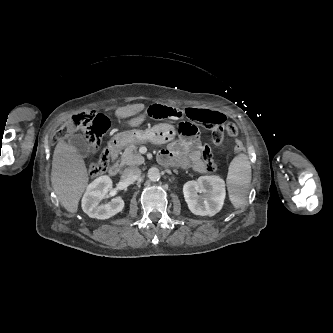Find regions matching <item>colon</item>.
Instances as JSON below:
<instances>
[{
    "instance_id": "obj_1",
    "label": "colon",
    "mask_w": 333,
    "mask_h": 333,
    "mask_svg": "<svg viewBox=\"0 0 333 333\" xmlns=\"http://www.w3.org/2000/svg\"><path fill=\"white\" fill-rule=\"evenodd\" d=\"M186 115L192 120L203 121L202 113L196 109H187ZM180 116L181 114L179 111L173 108L163 105H153L146 111L140 112L138 118L140 121L146 122L149 119H176ZM208 125L212 129L211 137L214 144H221L226 136L237 135L236 126L230 122H215ZM108 127L109 122L105 117L80 113L72 117L69 127L62 129L58 134V138L66 139L71 130L81 131L85 135L90 150L95 152L99 149L101 136L106 132ZM179 131L182 135L187 137H194L196 135V129L190 123H182L179 127ZM234 149L238 153L243 152L245 149L244 142L240 140L236 141ZM110 157L109 150L105 148L102 151L99 160L90 163L89 174L97 176L104 173L109 165ZM201 157L205 164L206 171L212 172L217 168V162L208 146L202 148Z\"/></svg>"
}]
</instances>
